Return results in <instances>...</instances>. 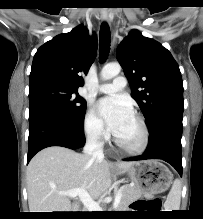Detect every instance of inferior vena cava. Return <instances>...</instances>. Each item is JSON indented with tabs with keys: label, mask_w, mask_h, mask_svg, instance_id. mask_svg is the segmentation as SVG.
<instances>
[{
	"label": "inferior vena cava",
	"mask_w": 203,
	"mask_h": 219,
	"mask_svg": "<svg viewBox=\"0 0 203 219\" xmlns=\"http://www.w3.org/2000/svg\"><path fill=\"white\" fill-rule=\"evenodd\" d=\"M97 134H92L88 137L83 152L91 156L93 159L103 160V144L97 141Z\"/></svg>",
	"instance_id": "1"
}]
</instances>
